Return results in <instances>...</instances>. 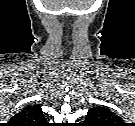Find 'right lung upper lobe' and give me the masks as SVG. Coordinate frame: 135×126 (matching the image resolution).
<instances>
[{"label":"right lung upper lobe","mask_w":135,"mask_h":126,"mask_svg":"<svg viewBox=\"0 0 135 126\" xmlns=\"http://www.w3.org/2000/svg\"><path fill=\"white\" fill-rule=\"evenodd\" d=\"M45 114L39 105H27L9 121V126H44Z\"/></svg>","instance_id":"right-lung-upper-lobe-1"}]
</instances>
